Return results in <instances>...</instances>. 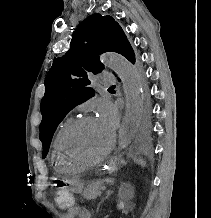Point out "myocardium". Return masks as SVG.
<instances>
[{
	"instance_id": "myocardium-1",
	"label": "myocardium",
	"mask_w": 211,
	"mask_h": 218,
	"mask_svg": "<svg viewBox=\"0 0 211 218\" xmlns=\"http://www.w3.org/2000/svg\"><path fill=\"white\" fill-rule=\"evenodd\" d=\"M92 119H95V117L93 115L81 116V117L77 118L76 120H74L70 124V126L67 128V130L65 131V134H64V137H63V153L62 154L64 156H67L68 158H70L71 162H73L76 165L90 166V165L96 164V163L102 161L103 159H105L107 156H109L111 154V152L113 151L115 145H116L117 137L113 133L111 144L108 146V148L106 150H104L99 155H97V156H95L93 158H90V159H85V160H79V159H74L72 157H69L67 148L69 147L70 139H71L72 134L83 123H85L87 121H90Z\"/></svg>"
}]
</instances>
